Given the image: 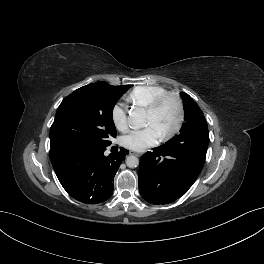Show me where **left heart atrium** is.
<instances>
[{
  "label": "left heart atrium",
  "mask_w": 264,
  "mask_h": 264,
  "mask_svg": "<svg viewBox=\"0 0 264 264\" xmlns=\"http://www.w3.org/2000/svg\"><path fill=\"white\" fill-rule=\"evenodd\" d=\"M159 132L152 125H148L143 129L133 130L125 135L122 143L126 148L135 151H143L148 147L155 145L159 138Z\"/></svg>",
  "instance_id": "1"
}]
</instances>
